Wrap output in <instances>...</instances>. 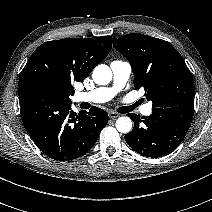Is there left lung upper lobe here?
Here are the masks:
<instances>
[{
    "mask_svg": "<svg viewBox=\"0 0 212 212\" xmlns=\"http://www.w3.org/2000/svg\"><path fill=\"white\" fill-rule=\"evenodd\" d=\"M113 46L129 60L135 88L145 89L153 108L194 106L192 74L169 42L132 33L114 38Z\"/></svg>",
    "mask_w": 212,
    "mask_h": 212,
    "instance_id": "1",
    "label": "left lung upper lobe"
}]
</instances>
